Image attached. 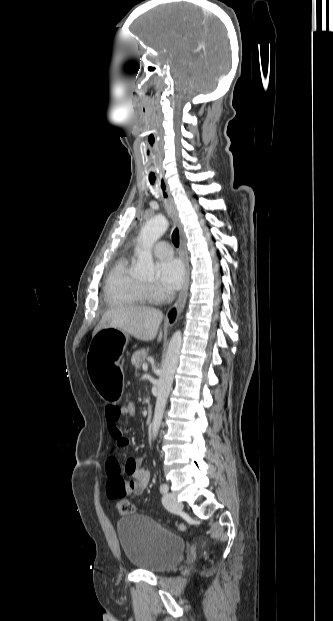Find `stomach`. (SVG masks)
Returning <instances> with one entry per match:
<instances>
[{
	"mask_svg": "<svg viewBox=\"0 0 333 621\" xmlns=\"http://www.w3.org/2000/svg\"><path fill=\"white\" fill-rule=\"evenodd\" d=\"M129 336L122 330L105 328L95 334L86 356V365L95 392L103 401L116 403L125 389L123 380V356L121 350Z\"/></svg>",
	"mask_w": 333,
	"mask_h": 621,
	"instance_id": "0dacf381",
	"label": "stomach"
}]
</instances>
